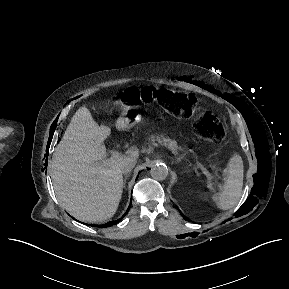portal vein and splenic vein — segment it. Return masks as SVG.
<instances>
[{
  "mask_svg": "<svg viewBox=\"0 0 289 289\" xmlns=\"http://www.w3.org/2000/svg\"><path fill=\"white\" fill-rule=\"evenodd\" d=\"M122 157V155L116 151L112 152V155L109 159H106L104 162H108V161H115L118 160ZM199 168L201 169V171L203 172V174L206 176L207 180L210 181H215L218 184L219 181L217 178H215L202 164H199ZM208 187H211V185L209 184Z\"/></svg>",
  "mask_w": 289,
  "mask_h": 289,
  "instance_id": "obj_1",
  "label": "portal vein and splenic vein"
}]
</instances>
